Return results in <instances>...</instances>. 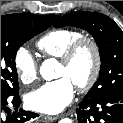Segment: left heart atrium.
<instances>
[{
    "mask_svg": "<svg viewBox=\"0 0 123 123\" xmlns=\"http://www.w3.org/2000/svg\"><path fill=\"white\" fill-rule=\"evenodd\" d=\"M74 97V86L67 77L47 82L27 94L25 102L35 111L47 114L61 112Z\"/></svg>",
    "mask_w": 123,
    "mask_h": 123,
    "instance_id": "left-heart-atrium-1",
    "label": "left heart atrium"
}]
</instances>
